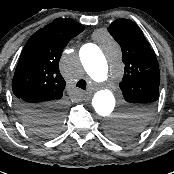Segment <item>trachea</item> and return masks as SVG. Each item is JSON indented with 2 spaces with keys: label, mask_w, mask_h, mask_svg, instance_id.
<instances>
[{
  "label": "trachea",
  "mask_w": 174,
  "mask_h": 174,
  "mask_svg": "<svg viewBox=\"0 0 174 174\" xmlns=\"http://www.w3.org/2000/svg\"><path fill=\"white\" fill-rule=\"evenodd\" d=\"M86 85H87V83H86L85 80H80V81H78V83L76 84L77 87H79V88H81V89H83V90L86 89Z\"/></svg>",
  "instance_id": "1"
}]
</instances>
